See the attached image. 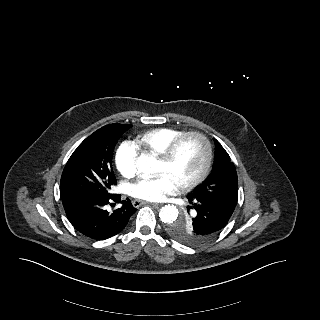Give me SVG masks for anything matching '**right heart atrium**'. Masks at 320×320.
<instances>
[{"label": "right heart atrium", "instance_id": "right-heart-atrium-1", "mask_svg": "<svg viewBox=\"0 0 320 320\" xmlns=\"http://www.w3.org/2000/svg\"><path fill=\"white\" fill-rule=\"evenodd\" d=\"M138 151L131 141H123L115 154V164L119 173L124 177H132L136 172Z\"/></svg>", "mask_w": 320, "mask_h": 320}]
</instances>
